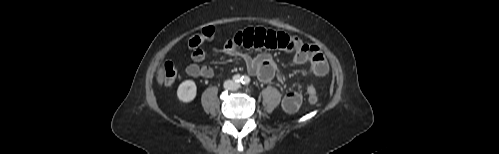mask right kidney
Here are the masks:
<instances>
[{
  "instance_id": "1",
  "label": "right kidney",
  "mask_w": 499,
  "mask_h": 154,
  "mask_svg": "<svg viewBox=\"0 0 499 154\" xmlns=\"http://www.w3.org/2000/svg\"><path fill=\"white\" fill-rule=\"evenodd\" d=\"M197 94V87L194 81H183L177 89V97L184 103L193 101Z\"/></svg>"
}]
</instances>
